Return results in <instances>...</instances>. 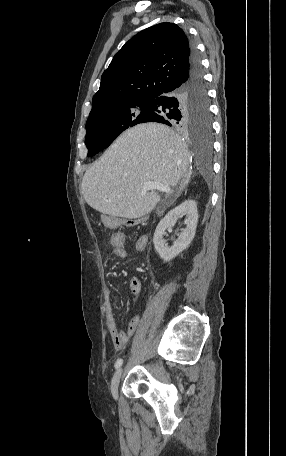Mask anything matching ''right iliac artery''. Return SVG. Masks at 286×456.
I'll return each instance as SVG.
<instances>
[{
	"label": "right iliac artery",
	"mask_w": 286,
	"mask_h": 456,
	"mask_svg": "<svg viewBox=\"0 0 286 456\" xmlns=\"http://www.w3.org/2000/svg\"><path fill=\"white\" fill-rule=\"evenodd\" d=\"M123 363V360L122 359H118L115 363V368L118 369Z\"/></svg>",
	"instance_id": "82829eb1"
}]
</instances>
